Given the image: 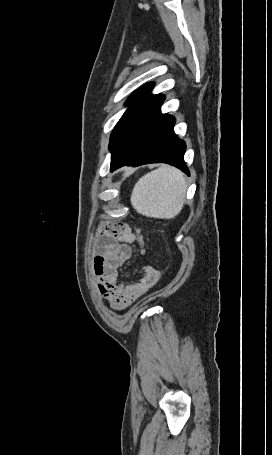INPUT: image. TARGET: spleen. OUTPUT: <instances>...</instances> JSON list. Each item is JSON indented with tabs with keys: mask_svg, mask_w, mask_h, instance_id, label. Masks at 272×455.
<instances>
[{
	"mask_svg": "<svg viewBox=\"0 0 272 455\" xmlns=\"http://www.w3.org/2000/svg\"><path fill=\"white\" fill-rule=\"evenodd\" d=\"M187 185L178 169L162 165L141 177L131 194V204L140 214L171 219L180 213Z\"/></svg>",
	"mask_w": 272,
	"mask_h": 455,
	"instance_id": "spleen-1",
	"label": "spleen"
}]
</instances>
